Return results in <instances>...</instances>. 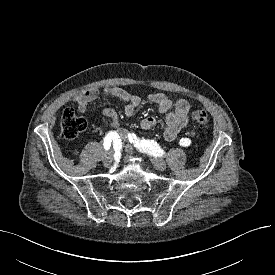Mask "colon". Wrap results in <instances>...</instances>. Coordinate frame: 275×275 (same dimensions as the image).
<instances>
[{
  "label": "colon",
  "mask_w": 275,
  "mask_h": 275,
  "mask_svg": "<svg viewBox=\"0 0 275 275\" xmlns=\"http://www.w3.org/2000/svg\"><path fill=\"white\" fill-rule=\"evenodd\" d=\"M191 119L200 127H205L209 122L207 112L202 109L193 111ZM86 127L85 118L78 116L73 109L64 110L61 117V132L65 139H75Z\"/></svg>",
  "instance_id": "1"
}]
</instances>
